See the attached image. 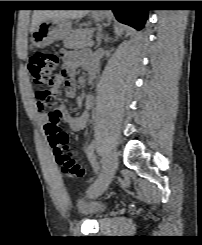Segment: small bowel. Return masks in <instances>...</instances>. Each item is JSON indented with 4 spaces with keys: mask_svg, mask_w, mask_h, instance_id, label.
Returning a JSON list of instances; mask_svg holds the SVG:
<instances>
[{
    "mask_svg": "<svg viewBox=\"0 0 202 245\" xmlns=\"http://www.w3.org/2000/svg\"><path fill=\"white\" fill-rule=\"evenodd\" d=\"M62 61L65 65V69L68 73V80L63 81L62 87L65 90L66 96L68 98H74L76 95V85L74 82V78L77 72V69L82 66L86 71L91 67L93 70L96 69L95 60L91 56L82 55L76 51L64 50L61 53ZM92 103L91 97L86 99V107L87 110L82 112L78 116H72L65 106H61L58 109L54 110V112L59 116L60 120L69 126L74 131L83 130L89 120V112ZM81 104V102H80ZM42 107L40 104L35 105V112L39 121L45 123L49 117V112H42Z\"/></svg>",
    "mask_w": 202,
    "mask_h": 245,
    "instance_id": "obj_1",
    "label": "small bowel"
}]
</instances>
